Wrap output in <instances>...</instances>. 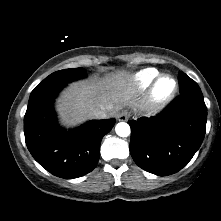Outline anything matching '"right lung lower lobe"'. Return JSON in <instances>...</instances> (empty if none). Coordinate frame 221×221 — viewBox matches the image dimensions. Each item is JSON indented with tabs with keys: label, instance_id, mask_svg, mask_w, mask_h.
Wrapping results in <instances>:
<instances>
[{
	"label": "right lung lower lobe",
	"instance_id": "obj_1",
	"mask_svg": "<svg viewBox=\"0 0 221 221\" xmlns=\"http://www.w3.org/2000/svg\"><path fill=\"white\" fill-rule=\"evenodd\" d=\"M61 87L30 95L24 117V134L33 158L51 174L72 179L91 172L100 157V143L115 119L89 121L66 131L56 119L53 103Z\"/></svg>",
	"mask_w": 221,
	"mask_h": 221
}]
</instances>
